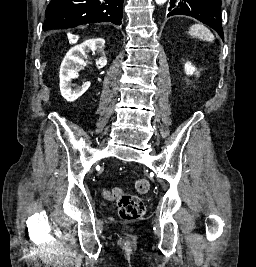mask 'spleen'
<instances>
[{
  "instance_id": "1",
  "label": "spleen",
  "mask_w": 256,
  "mask_h": 267,
  "mask_svg": "<svg viewBox=\"0 0 256 267\" xmlns=\"http://www.w3.org/2000/svg\"><path fill=\"white\" fill-rule=\"evenodd\" d=\"M189 36H192V38H198V40H203V42H213L215 40L212 32L208 30V28H205L203 24H194V26H190Z\"/></svg>"
}]
</instances>
